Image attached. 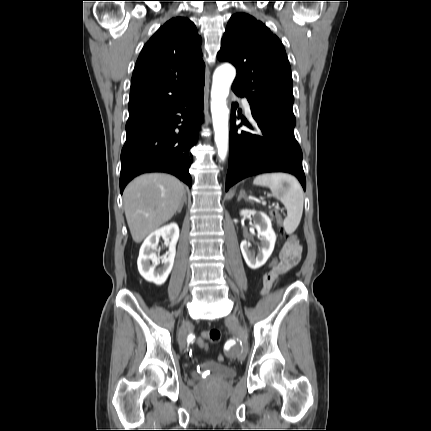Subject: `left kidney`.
<instances>
[{
    "mask_svg": "<svg viewBox=\"0 0 431 431\" xmlns=\"http://www.w3.org/2000/svg\"><path fill=\"white\" fill-rule=\"evenodd\" d=\"M240 214L243 216L252 215L254 217L258 238L261 240L262 246L256 256L249 251V243L247 241H242L240 244L246 264L255 270L263 266L271 256L275 246L276 235L272 229L271 220L265 213L254 210H242Z\"/></svg>",
    "mask_w": 431,
    "mask_h": 431,
    "instance_id": "left-kidney-1",
    "label": "left kidney"
}]
</instances>
